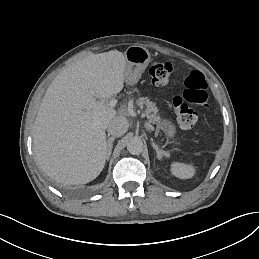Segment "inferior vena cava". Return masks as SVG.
<instances>
[{
  "instance_id": "obj_1",
  "label": "inferior vena cava",
  "mask_w": 259,
  "mask_h": 259,
  "mask_svg": "<svg viewBox=\"0 0 259 259\" xmlns=\"http://www.w3.org/2000/svg\"><path fill=\"white\" fill-rule=\"evenodd\" d=\"M129 127V122L124 116H115L108 125V133L114 137L124 135Z\"/></svg>"
}]
</instances>
